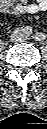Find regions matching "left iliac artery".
<instances>
[{
  "mask_svg": "<svg viewBox=\"0 0 47 129\" xmlns=\"http://www.w3.org/2000/svg\"><path fill=\"white\" fill-rule=\"evenodd\" d=\"M35 39L38 40V41L45 40L46 39V35L44 33H37L35 35Z\"/></svg>",
  "mask_w": 47,
  "mask_h": 129,
  "instance_id": "obj_1",
  "label": "left iliac artery"
}]
</instances>
